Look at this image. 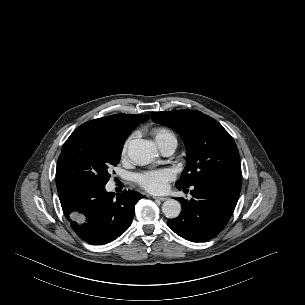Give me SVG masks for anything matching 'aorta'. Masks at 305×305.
<instances>
[{
	"label": "aorta",
	"mask_w": 305,
	"mask_h": 305,
	"mask_svg": "<svg viewBox=\"0 0 305 305\" xmlns=\"http://www.w3.org/2000/svg\"><path fill=\"white\" fill-rule=\"evenodd\" d=\"M157 148L145 139L132 140L128 145V156L137 165H147L157 156ZM162 212L167 218L173 219L180 215L181 204L175 199H168L162 205Z\"/></svg>",
	"instance_id": "obj_1"
}]
</instances>
